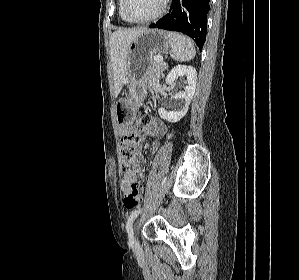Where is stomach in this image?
I'll return each instance as SVG.
<instances>
[{
  "instance_id": "1",
  "label": "stomach",
  "mask_w": 299,
  "mask_h": 280,
  "mask_svg": "<svg viewBox=\"0 0 299 280\" xmlns=\"http://www.w3.org/2000/svg\"><path fill=\"white\" fill-rule=\"evenodd\" d=\"M168 35L159 29H146L128 47V60L125 84L128 93L118 101L119 123L128 124L135 118L144 96L148 91L147 71L152 56L168 51Z\"/></svg>"
}]
</instances>
